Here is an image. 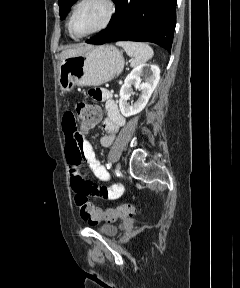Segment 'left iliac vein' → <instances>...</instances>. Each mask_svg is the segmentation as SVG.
Here are the masks:
<instances>
[{"label": "left iliac vein", "instance_id": "obj_1", "mask_svg": "<svg viewBox=\"0 0 240 288\" xmlns=\"http://www.w3.org/2000/svg\"><path fill=\"white\" fill-rule=\"evenodd\" d=\"M115 171H116L117 173H120V172H121V165H120V163H118V164L116 165Z\"/></svg>", "mask_w": 240, "mask_h": 288}]
</instances>
